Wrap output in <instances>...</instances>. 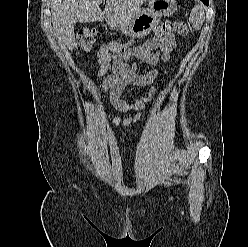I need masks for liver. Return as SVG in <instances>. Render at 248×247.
<instances>
[{
    "instance_id": "obj_1",
    "label": "liver",
    "mask_w": 248,
    "mask_h": 247,
    "mask_svg": "<svg viewBox=\"0 0 248 247\" xmlns=\"http://www.w3.org/2000/svg\"><path fill=\"white\" fill-rule=\"evenodd\" d=\"M103 0H50L53 28L58 38L72 50L75 47L74 25L106 20L115 28L136 16L146 0H106L104 11L100 9Z\"/></svg>"
}]
</instances>
